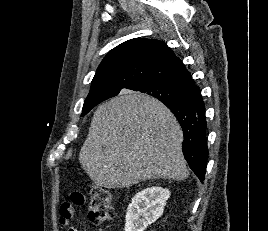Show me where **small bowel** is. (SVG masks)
Wrapping results in <instances>:
<instances>
[{"label": "small bowel", "mask_w": 268, "mask_h": 231, "mask_svg": "<svg viewBox=\"0 0 268 231\" xmlns=\"http://www.w3.org/2000/svg\"><path fill=\"white\" fill-rule=\"evenodd\" d=\"M75 204L80 205L81 200L79 198L76 199ZM74 217V207L70 202H63L60 205L59 209V224L62 226H66L68 231H81L79 227L72 223V219Z\"/></svg>", "instance_id": "c3829d8e"}]
</instances>
